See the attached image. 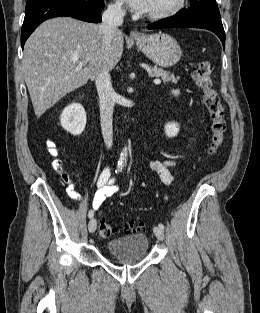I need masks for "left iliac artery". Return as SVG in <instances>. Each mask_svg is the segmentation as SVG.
Returning <instances> with one entry per match:
<instances>
[{
    "label": "left iliac artery",
    "instance_id": "1",
    "mask_svg": "<svg viewBox=\"0 0 260 313\" xmlns=\"http://www.w3.org/2000/svg\"><path fill=\"white\" fill-rule=\"evenodd\" d=\"M158 226H159L161 229H163V230H164V228H165L162 223H159Z\"/></svg>",
    "mask_w": 260,
    "mask_h": 313
}]
</instances>
